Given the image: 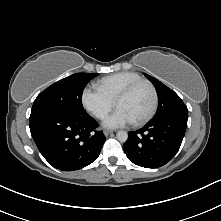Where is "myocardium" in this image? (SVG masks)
<instances>
[{"instance_id": "myocardium-1", "label": "myocardium", "mask_w": 221, "mask_h": 221, "mask_svg": "<svg viewBox=\"0 0 221 221\" xmlns=\"http://www.w3.org/2000/svg\"><path fill=\"white\" fill-rule=\"evenodd\" d=\"M143 84H147L149 85V87L152 90L153 93V103H152V107L150 109V111L141 119L133 121V124L136 126H140L145 124L146 122H148L156 113L157 107H158V92L156 87L154 86V84L147 80V79H141L138 80L132 84H130L129 86H127L116 98L115 100V105L118 106V104L124 100L125 98H127L128 96H130L133 91L135 89H137L139 86L143 85Z\"/></svg>"}]
</instances>
